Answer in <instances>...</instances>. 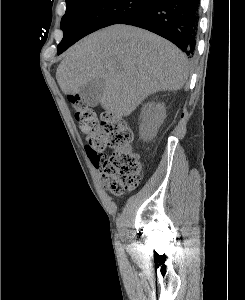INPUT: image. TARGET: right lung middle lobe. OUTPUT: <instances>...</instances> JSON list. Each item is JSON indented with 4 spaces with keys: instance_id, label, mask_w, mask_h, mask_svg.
<instances>
[{
    "instance_id": "obj_1",
    "label": "right lung middle lobe",
    "mask_w": 245,
    "mask_h": 300,
    "mask_svg": "<svg viewBox=\"0 0 245 300\" xmlns=\"http://www.w3.org/2000/svg\"><path fill=\"white\" fill-rule=\"evenodd\" d=\"M152 0H66V13L61 20L64 37L57 50L61 54L84 36L141 9Z\"/></svg>"
}]
</instances>
